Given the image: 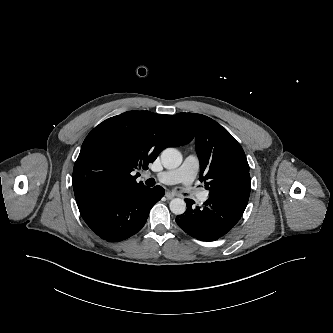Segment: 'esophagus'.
I'll list each match as a JSON object with an SVG mask.
<instances>
[{
    "instance_id": "obj_1",
    "label": "esophagus",
    "mask_w": 333,
    "mask_h": 333,
    "mask_svg": "<svg viewBox=\"0 0 333 333\" xmlns=\"http://www.w3.org/2000/svg\"><path fill=\"white\" fill-rule=\"evenodd\" d=\"M165 196H166L167 199L170 200V199H173L176 195L174 193H172V192L167 191L165 193Z\"/></svg>"
}]
</instances>
